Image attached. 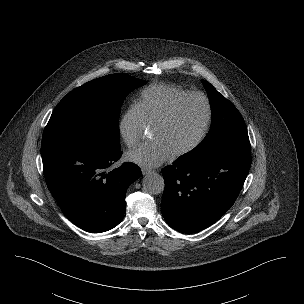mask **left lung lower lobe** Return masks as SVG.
I'll use <instances>...</instances> for the list:
<instances>
[{"label": "left lung lower lobe", "instance_id": "0a47b994", "mask_svg": "<svg viewBox=\"0 0 304 304\" xmlns=\"http://www.w3.org/2000/svg\"><path fill=\"white\" fill-rule=\"evenodd\" d=\"M251 166V151L230 149L197 162L178 159L163 168L161 210L179 232L203 230L234 204Z\"/></svg>", "mask_w": 304, "mask_h": 304}]
</instances>
